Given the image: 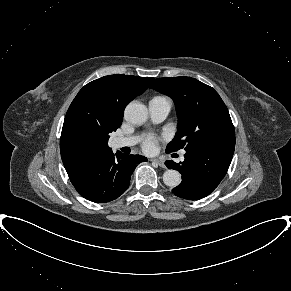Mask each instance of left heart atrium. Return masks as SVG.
<instances>
[{"label": "left heart atrium", "mask_w": 291, "mask_h": 291, "mask_svg": "<svg viewBox=\"0 0 291 291\" xmlns=\"http://www.w3.org/2000/svg\"><path fill=\"white\" fill-rule=\"evenodd\" d=\"M158 144V138L155 135H147L143 141V149L148 153H152L156 150Z\"/></svg>", "instance_id": "39dd6f15"}]
</instances>
